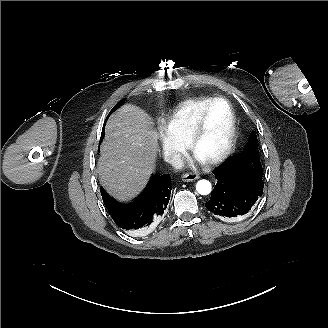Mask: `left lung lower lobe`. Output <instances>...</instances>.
Listing matches in <instances>:
<instances>
[{"instance_id": "0a47b994", "label": "left lung lower lobe", "mask_w": 328, "mask_h": 328, "mask_svg": "<svg viewBox=\"0 0 328 328\" xmlns=\"http://www.w3.org/2000/svg\"><path fill=\"white\" fill-rule=\"evenodd\" d=\"M260 159L254 162L241 155H234L213 171L217 179L206 208L216 217L229 220L246 215L262 196ZM259 168V169H258Z\"/></svg>"}]
</instances>
